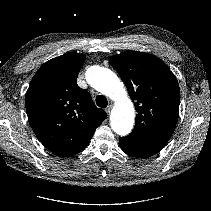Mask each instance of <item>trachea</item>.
I'll use <instances>...</instances> for the list:
<instances>
[{
    "label": "trachea",
    "instance_id": "3493384b",
    "mask_svg": "<svg viewBox=\"0 0 211 211\" xmlns=\"http://www.w3.org/2000/svg\"><path fill=\"white\" fill-rule=\"evenodd\" d=\"M96 104L101 108H105L108 105V100L103 95H98L96 97Z\"/></svg>",
    "mask_w": 211,
    "mask_h": 211
}]
</instances>
